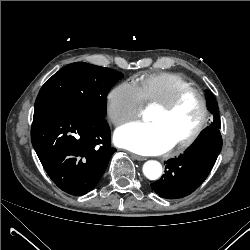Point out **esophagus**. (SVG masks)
Instances as JSON below:
<instances>
[{"label":"esophagus","mask_w":250,"mask_h":250,"mask_svg":"<svg viewBox=\"0 0 250 250\" xmlns=\"http://www.w3.org/2000/svg\"><path fill=\"white\" fill-rule=\"evenodd\" d=\"M131 157H132L133 159H135V160H138V161H144V160H146L145 157L140 156V155H137V154H131Z\"/></svg>","instance_id":"1"}]
</instances>
